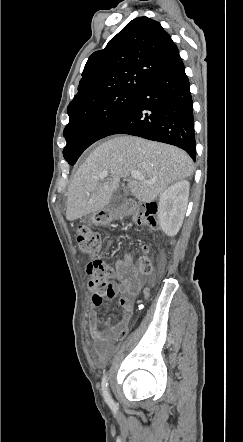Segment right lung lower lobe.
<instances>
[{"instance_id": "1", "label": "right lung lower lobe", "mask_w": 243, "mask_h": 442, "mask_svg": "<svg viewBox=\"0 0 243 442\" xmlns=\"http://www.w3.org/2000/svg\"><path fill=\"white\" fill-rule=\"evenodd\" d=\"M113 134L175 145L196 159L193 101L179 53L150 76L100 139Z\"/></svg>"}]
</instances>
